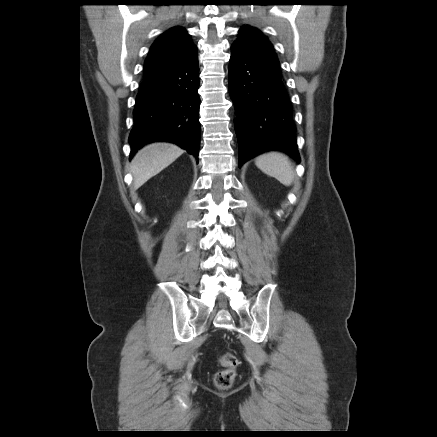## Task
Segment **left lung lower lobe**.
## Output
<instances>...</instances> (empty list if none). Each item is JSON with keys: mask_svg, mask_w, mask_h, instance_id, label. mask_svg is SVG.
<instances>
[{"mask_svg": "<svg viewBox=\"0 0 437 437\" xmlns=\"http://www.w3.org/2000/svg\"><path fill=\"white\" fill-rule=\"evenodd\" d=\"M229 91L237 119L239 166L269 150L288 153L298 162L292 106L281 74L238 44H232Z\"/></svg>", "mask_w": 437, "mask_h": 437, "instance_id": "left-lung-lower-lobe-1", "label": "left lung lower lobe"}]
</instances>
